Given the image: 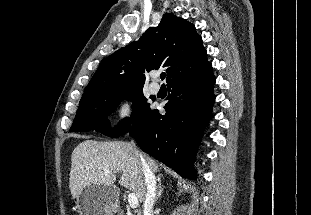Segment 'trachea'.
<instances>
[{"mask_svg": "<svg viewBox=\"0 0 311 215\" xmlns=\"http://www.w3.org/2000/svg\"><path fill=\"white\" fill-rule=\"evenodd\" d=\"M165 77H166V74H165V73H162V74L160 75L161 80H164Z\"/></svg>", "mask_w": 311, "mask_h": 215, "instance_id": "trachea-1", "label": "trachea"}]
</instances>
